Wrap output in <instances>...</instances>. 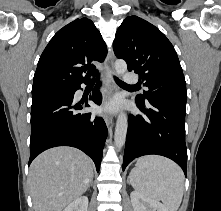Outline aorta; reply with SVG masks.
Segmentation results:
<instances>
[{
    "instance_id": "1",
    "label": "aorta",
    "mask_w": 221,
    "mask_h": 211,
    "mask_svg": "<svg viewBox=\"0 0 221 211\" xmlns=\"http://www.w3.org/2000/svg\"><path fill=\"white\" fill-rule=\"evenodd\" d=\"M115 70L118 75H123L127 71V64L124 60H117L115 62ZM128 122L127 116L124 112L118 115L114 141L118 149L122 148L125 144L126 134H127Z\"/></svg>"
}]
</instances>
